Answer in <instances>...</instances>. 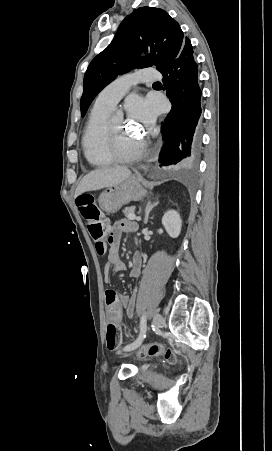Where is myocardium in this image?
<instances>
[{
    "mask_svg": "<svg viewBox=\"0 0 272 451\" xmlns=\"http://www.w3.org/2000/svg\"><path fill=\"white\" fill-rule=\"evenodd\" d=\"M103 138L106 142L113 143L114 148L117 147V144L115 143L112 127H111V120H107L103 129ZM137 151V147H135L132 150H129L127 153L128 156H126L127 159L134 156V153ZM122 159V158H120Z\"/></svg>",
    "mask_w": 272,
    "mask_h": 451,
    "instance_id": "myocardium-1",
    "label": "myocardium"
}]
</instances>
